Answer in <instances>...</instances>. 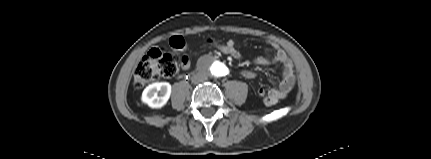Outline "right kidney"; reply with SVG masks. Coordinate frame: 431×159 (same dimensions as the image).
Returning a JSON list of instances; mask_svg holds the SVG:
<instances>
[{
  "label": "right kidney",
  "instance_id": "ca27d5eb",
  "mask_svg": "<svg viewBox=\"0 0 431 159\" xmlns=\"http://www.w3.org/2000/svg\"><path fill=\"white\" fill-rule=\"evenodd\" d=\"M171 95V85L168 82H156L148 85L141 100L151 108H161L169 100Z\"/></svg>",
  "mask_w": 431,
  "mask_h": 159
}]
</instances>
